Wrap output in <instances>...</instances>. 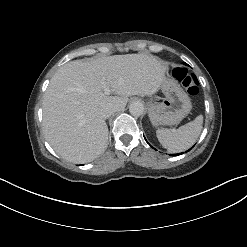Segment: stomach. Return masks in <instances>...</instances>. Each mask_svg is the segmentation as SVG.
I'll return each mask as SVG.
<instances>
[{"label": "stomach", "instance_id": "1", "mask_svg": "<svg viewBox=\"0 0 247 247\" xmlns=\"http://www.w3.org/2000/svg\"><path fill=\"white\" fill-rule=\"evenodd\" d=\"M160 88L165 98L162 102H148V113L154 126L175 125L192 109L190 97L171 75H165Z\"/></svg>", "mask_w": 247, "mask_h": 247}]
</instances>
